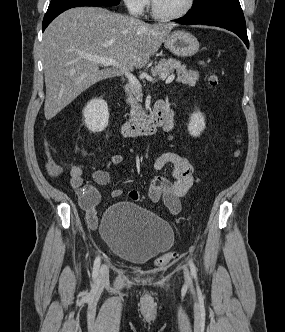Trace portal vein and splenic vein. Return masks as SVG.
<instances>
[{
    "label": "portal vein and splenic vein",
    "instance_id": "18ae733b",
    "mask_svg": "<svg viewBox=\"0 0 285 332\" xmlns=\"http://www.w3.org/2000/svg\"><path fill=\"white\" fill-rule=\"evenodd\" d=\"M86 59L90 60V61H93V62H96V63H99L101 65H104V66H115V67H120V65L118 64L117 61L113 60V59H110V58H103V57H98V56H86L85 57ZM124 73L126 75V77L128 78L129 82L134 86L136 87L137 89H141V83L138 81V79L133 75L131 74L129 71L127 70H124ZM161 79H164L166 78V75L165 74H162L160 76ZM175 78V75L172 74V75H169L166 80H165V83L166 84H169L171 83Z\"/></svg>",
    "mask_w": 285,
    "mask_h": 332
}]
</instances>
